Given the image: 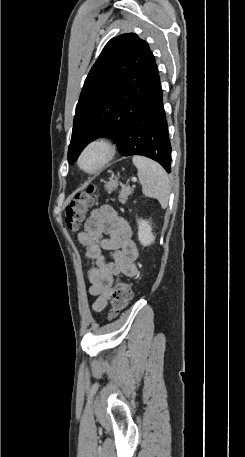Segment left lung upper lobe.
<instances>
[{
  "instance_id": "left-lung-upper-lobe-1",
  "label": "left lung upper lobe",
  "mask_w": 245,
  "mask_h": 457,
  "mask_svg": "<svg viewBox=\"0 0 245 457\" xmlns=\"http://www.w3.org/2000/svg\"><path fill=\"white\" fill-rule=\"evenodd\" d=\"M155 58L146 41L134 33L111 39L91 68L80 94L73 121L68 161L118 118L138 109L157 78Z\"/></svg>"
}]
</instances>
